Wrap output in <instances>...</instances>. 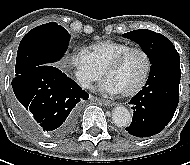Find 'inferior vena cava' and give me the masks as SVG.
Instances as JSON below:
<instances>
[{
  "instance_id": "inferior-vena-cava-1",
  "label": "inferior vena cava",
  "mask_w": 190,
  "mask_h": 165,
  "mask_svg": "<svg viewBox=\"0 0 190 165\" xmlns=\"http://www.w3.org/2000/svg\"><path fill=\"white\" fill-rule=\"evenodd\" d=\"M76 77H77V80L81 84L82 87L89 88L90 80L86 76H84L80 72H76Z\"/></svg>"
}]
</instances>
